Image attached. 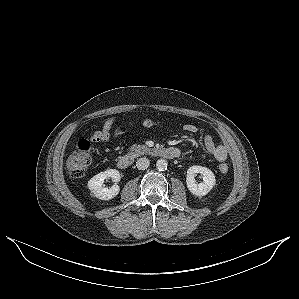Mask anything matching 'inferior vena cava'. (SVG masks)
<instances>
[{"label": "inferior vena cava", "instance_id": "602c4592", "mask_svg": "<svg viewBox=\"0 0 299 299\" xmlns=\"http://www.w3.org/2000/svg\"><path fill=\"white\" fill-rule=\"evenodd\" d=\"M149 165H150V161L146 157L139 158L136 162V166L139 170H145L149 167Z\"/></svg>", "mask_w": 299, "mask_h": 299}]
</instances>
